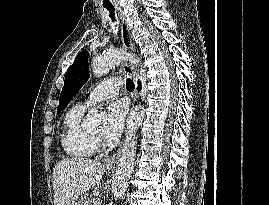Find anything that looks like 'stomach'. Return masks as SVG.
Returning a JSON list of instances; mask_svg holds the SVG:
<instances>
[{
	"label": "stomach",
	"instance_id": "1",
	"mask_svg": "<svg viewBox=\"0 0 269 205\" xmlns=\"http://www.w3.org/2000/svg\"><path fill=\"white\" fill-rule=\"evenodd\" d=\"M110 167H106V170H110ZM75 205H91L90 200L86 197H82Z\"/></svg>",
	"mask_w": 269,
	"mask_h": 205
}]
</instances>
